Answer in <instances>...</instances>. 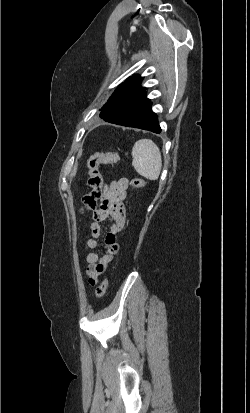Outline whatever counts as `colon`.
<instances>
[{"instance_id": "5ec220e1", "label": "colon", "mask_w": 250, "mask_h": 413, "mask_svg": "<svg viewBox=\"0 0 250 413\" xmlns=\"http://www.w3.org/2000/svg\"><path fill=\"white\" fill-rule=\"evenodd\" d=\"M121 158L116 153H96L88 160V185L89 193L83 197V207L86 210L95 209L97 202L103 196L104 179L99 170L101 164H114L120 162ZM146 182L141 178H134L130 185L132 188H142ZM108 279L105 278L96 289V297L101 298L106 293Z\"/></svg>"}]
</instances>
